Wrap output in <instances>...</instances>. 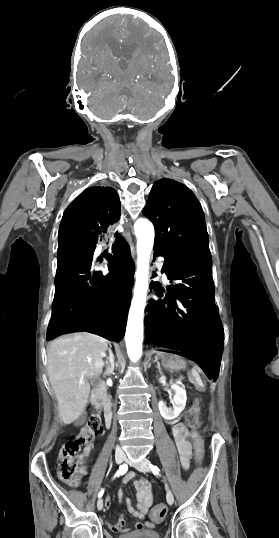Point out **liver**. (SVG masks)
<instances>
[{
  "mask_svg": "<svg viewBox=\"0 0 279 538\" xmlns=\"http://www.w3.org/2000/svg\"><path fill=\"white\" fill-rule=\"evenodd\" d=\"M107 342L87 332L66 334L51 342L47 370L64 424H72L83 414L90 394L89 380L102 374Z\"/></svg>",
  "mask_w": 279,
  "mask_h": 538,
  "instance_id": "liver-1",
  "label": "liver"
}]
</instances>
